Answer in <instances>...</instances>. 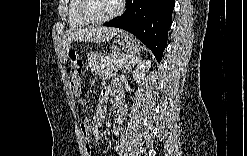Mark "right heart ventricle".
<instances>
[{"instance_id":"1","label":"right heart ventricle","mask_w":247,"mask_h":156,"mask_svg":"<svg viewBox=\"0 0 247 156\" xmlns=\"http://www.w3.org/2000/svg\"><path fill=\"white\" fill-rule=\"evenodd\" d=\"M81 0H71L68 5L67 15L68 23L72 29H80L87 26L79 16V6Z\"/></svg>"}]
</instances>
